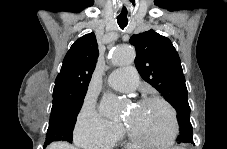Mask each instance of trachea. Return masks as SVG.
Here are the masks:
<instances>
[{"mask_svg": "<svg viewBox=\"0 0 227 149\" xmlns=\"http://www.w3.org/2000/svg\"><path fill=\"white\" fill-rule=\"evenodd\" d=\"M117 22H118V25L121 29H124L128 24V21H126V20L117 19Z\"/></svg>", "mask_w": 227, "mask_h": 149, "instance_id": "trachea-1", "label": "trachea"}]
</instances>
